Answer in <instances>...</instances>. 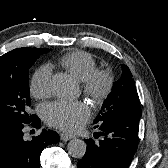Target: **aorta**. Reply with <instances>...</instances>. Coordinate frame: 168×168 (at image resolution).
I'll list each match as a JSON object with an SVG mask.
<instances>
[{
	"label": "aorta",
	"instance_id": "aorta-1",
	"mask_svg": "<svg viewBox=\"0 0 168 168\" xmlns=\"http://www.w3.org/2000/svg\"><path fill=\"white\" fill-rule=\"evenodd\" d=\"M75 81L65 73H58L52 77L50 89L59 98H70L76 91ZM70 156L82 158L86 153V143L81 139H72L67 146Z\"/></svg>",
	"mask_w": 168,
	"mask_h": 168
}]
</instances>
